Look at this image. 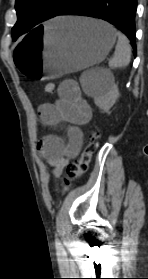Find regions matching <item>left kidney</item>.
Here are the masks:
<instances>
[{
	"instance_id": "obj_1",
	"label": "left kidney",
	"mask_w": 148,
	"mask_h": 279,
	"mask_svg": "<svg viewBox=\"0 0 148 279\" xmlns=\"http://www.w3.org/2000/svg\"><path fill=\"white\" fill-rule=\"evenodd\" d=\"M119 96L120 94L117 85L111 82L107 77L105 91L94 97V103L100 110L108 113Z\"/></svg>"
}]
</instances>
